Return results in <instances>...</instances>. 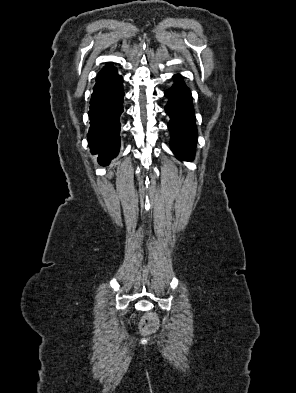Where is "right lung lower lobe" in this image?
Instances as JSON below:
<instances>
[{"mask_svg": "<svg viewBox=\"0 0 296 393\" xmlns=\"http://www.w3.org/2000/svg\"><path fill=\"white\" fill-rule=\"evenodd\" d=\"M123 79L108 64L98 73L88 112V142L92 154H99L98 163L107 166L120 148V115L123 112Z\"/></svg>", "mask_w": 296, "mask_h": 393, "instance_id": "98d812e1", "label": "right lung lower lobe"}]
</instances>
